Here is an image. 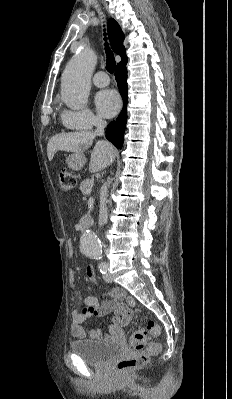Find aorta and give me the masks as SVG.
<instances>
[{"label":"aorta","mask_w":232,"mask_h":399,"mask_svg":"<svg viewBox=\"0 0 232 399\" xmlns=\"http://www.w3.org/2000/svg\"><path fill=\"white\" fill-rule=\"evenodd\" d=\"M97 62L95 53L83 48L67 64L61 81V97L71 109H82L89 97L91 75ZM80 251L88 257H98L102 253L99 238L92 231L85 232L80 240Z\"/></svg>","instance_id":"obj_1"}]
</instances>
